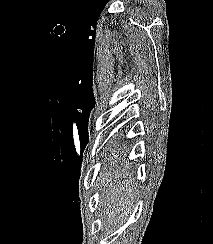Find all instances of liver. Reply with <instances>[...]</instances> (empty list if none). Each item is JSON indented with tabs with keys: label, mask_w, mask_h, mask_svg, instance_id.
Returning <instances> with one entry per match:
<instances>
[{
	"label": "liver",
	"mask_w": 213,
	"mask_h": 244,
	"mask_svg": "<svg viewBox=\"0 0 213 244\" xmlns=\"http://www.w3.org/2000/svg\"><path fill=\"white\" fill-rule=\"evenodd\" d=\"M103 179L105 185L99 206L105 208L104 223L115 229L129 216L137 190L131 179H116V172L104 174Z\"/></svg>",
	"instance_id": "6515ba94"
}]
</instances>
